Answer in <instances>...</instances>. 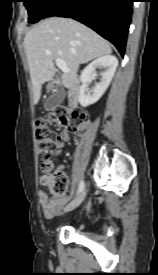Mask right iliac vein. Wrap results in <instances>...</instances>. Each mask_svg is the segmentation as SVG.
<instances>
[{"label":"right iliac vein","instance_id":"right-iliac-vein-1","mask_svg":"<svg viewBox=\"0 0 158 275\" xmlns=\"http://www.w3.org/2000/svg\"><path fill=\"white\" fill-rule=\"evenodd\" d=\"M86 191L81 192L73 201H71L64 209L65 212L71 211L78 207L84 200Z\"/></svg>","mask_w":158,"mask_h":275}]
</instances>
